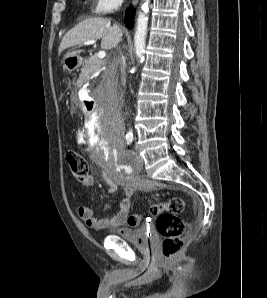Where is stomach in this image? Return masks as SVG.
Returning a JSON list of instances; mask_svg holds the SVG:
<instances>
[{
	"mask_svg": "<svg viewBox=\"0 0 267 298\" xmlns=\"http://www.w3.org/2000/svg\"><path fill=\"white\" fill-rule=\"evenodd\" d=\"M71 62H72V67H69L67 64H65L64 67L68 70H72L81 64V60L79 58H74V60Z\"/></svg>",
	"mask_w": 267,
	"mask_h": 298,
	"instance_id": "stomach-1",
	"label": "stomach"
}]
</instances>
